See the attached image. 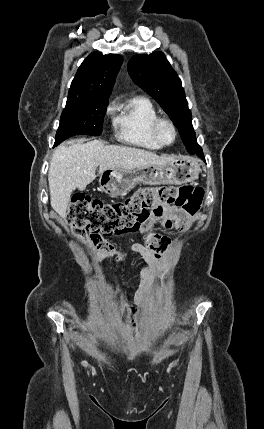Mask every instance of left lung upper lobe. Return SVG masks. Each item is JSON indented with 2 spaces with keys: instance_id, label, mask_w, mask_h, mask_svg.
I'll list each match as a JSON object with an SVG mask.
<instances>
[{
  "instance_id": "obj_1",
  "label": "left lung upper lobe",
  "mask_w": 264,
  "mask_h": 429,
  "mask_svg": "<svg viewBox=\"0 0 264 429\" xmlns=\"http://www.w3.org/2000/svg\"><path fill=\"white\" fill-rule=\"evenodd\" d=\"M133 81L151 95L172 119L190 153L201 150L192 126V115L188 109L182 83L167 61L164 53L135 55L128 63Z\"/></svg>"
}]
</instances>
